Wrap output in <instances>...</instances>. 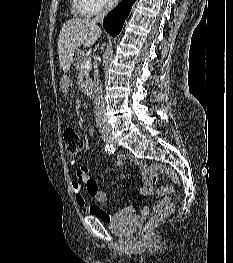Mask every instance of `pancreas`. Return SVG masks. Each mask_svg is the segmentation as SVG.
<instances>
[{
	"mask_svg": "<svg viewBox=\"0 0 233 263\" xmlns=\"http://www.w3.org/2000/svg\"><path fill=\"white\" fill-rule=\"evenodd\" d=\"M77 57L75 59V67L77 70H82L81 65L84 63V61L87 59L85 52L84 51H77L76 53ZM91 71V68L88 69H83L85 77L88 79L89 78V72ZM91 91V84H89L85 88V92L89 94Z\"/></svg>",
	"mask_w": 233,
	"mask_h": 263,
	"instance_id": "pancreas-1",
	"label": "pancreas"
}]
</instances>
